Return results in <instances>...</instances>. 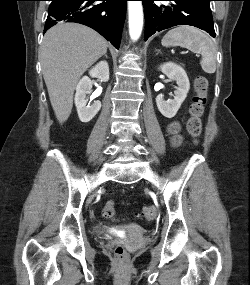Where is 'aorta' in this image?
<instances>
[{"instance_id": "762f6f07", "label": "aorta", "mask_w": 250, "mask_h": 285, "mask_svg": "<svg viewBox=\"0 0 250 285\" xmlns=\"http://www.w3.org/2000/svg\"><path fill=\"white\" fill-rule=\"evenodd\" d=\"M129 35L133 41L139 39L143 28V6L141 1H128Z\"/></svg>"}]
</instances>
